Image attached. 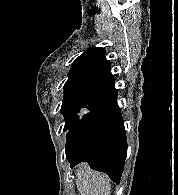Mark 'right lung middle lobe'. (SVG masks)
<instances>
[{"instance_id":"dd1d6c3e","label":"right lung middle lobe","mask_w":178,"mask_h":195,"mask_svg":"<svg viewBox=\"0 0 178 195\" xmlns=\"http://www.w3.org/2000/svg\"><path fill=\"white\" fill-rule=\"evenodd\" d=\"M95 99V96L89 95H71L63 97L61 113L65 118L64 131L68 130L67 137L83 118L78 113L81 110H89Z\"/></svg>"}]
</instances>
